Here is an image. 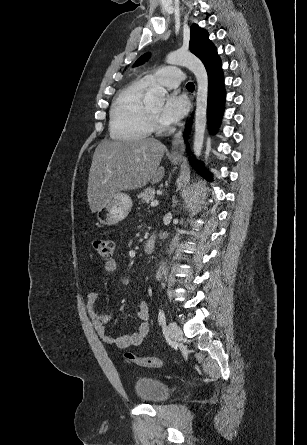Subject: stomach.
Wrapping results in <instances>:
<instances>
[{"label": "stomach", "mask_w": 307, "mask_h": 445, "mask_svg": "<svg viewBox=\"0 0 307 445\" xmlns=\"http://www.w3.org/2000/svg\"><path fill=\"white\" fill-rule=\"evenodd\" d=\"M178 164V160H173ZM132 208V198L127 192H114L110 198L105 200V204L97 210V218L101 225L112 227L117 225L120 220L126 218Z\"/></svg>", "instance_id": "obj_1"}]
</instances>
